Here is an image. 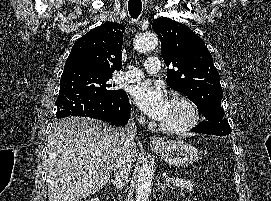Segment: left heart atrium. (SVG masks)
I'll return each mask as SVG.
<instances>
[{
  "label": "left heart atrium",
  "instance_id": "1",
  "mask_svg": "<svg viewBox=\"0 0 271 201\" xmlns=\"http://www.w3.org/2000/svg\"><path fill=\"white\" fill-rule=\"evenodd\" d=\"M134 103L149 117L163 121L169 111L170 102L160 86L149 82L136 85L132 90Z\"/></svg>",
  "mask_w": 271,
  "mask_h": 201
}]
</instances>
